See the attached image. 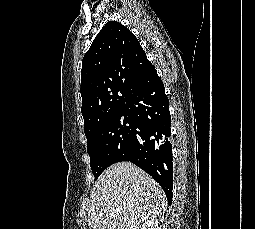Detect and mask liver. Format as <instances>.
<instances>
[{
  "mask_svg": "<svg viewBox=\"0 0 255 229\" xmlns=\"http://www.w3.org/2000/svg\"><path fill=\"white\" fill-rule=\"evenodd\" d=\"M165 205V194L151 176L131 162H118L93 186L88 224L91 229H139Z\"/></svg>",
  "mask_w": 255,
  "mask_h": 229,
  "instance_id": "1",
  "label": "liver"
}]
</instances>
